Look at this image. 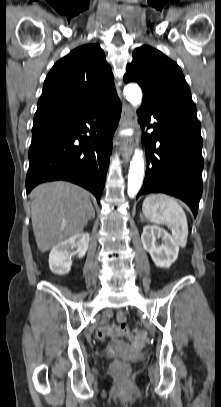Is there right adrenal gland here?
<instances>
[{
    "instance_id": "right-adrenal-gland-1",
    "label": "right adrenal gland",
    "mask_w": 221,
    "mask_h": 407,
    "mask_svg": "<svg viewBox=\"0 0 221 407\" xmlns=\"http://www.w3.org/2000/svg\"><path fill=\"white\" fill-rule=\"evenodd\" d=\"M92 210H93V216H92V219H94V218H95V210H94V208H92Z\"/></svg>"
}]
</instances>
